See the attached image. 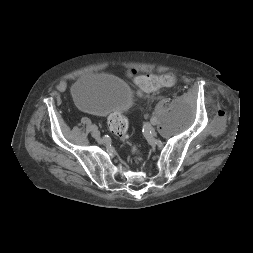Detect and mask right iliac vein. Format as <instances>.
Masks as SVG:
<instances>
[{"mask_svg": "<svg viewBox=\"0 0 253 253\" xmlns=\"http://www.w3.org/2000/svg\"><path fill=\"white\" fill-rule=\"evenodd\" d=\"M92 136L94 138H99L100 137V132L97 129H95V130L92 131Z\"/></svg>", "mask_w": 253, "mask_h": 253, "instance_id": "1", "label": "right iliac vein"}]
</instances>
